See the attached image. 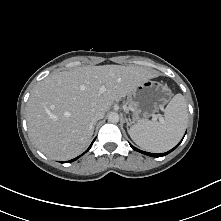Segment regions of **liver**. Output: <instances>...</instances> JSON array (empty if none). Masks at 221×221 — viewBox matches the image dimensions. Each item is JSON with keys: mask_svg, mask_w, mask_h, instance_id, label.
<instances>
[{"mask_svg": "<svg viewBox=\"0 0 221 221\" xmlns=\"http://www.w3.org/2000/svg\"><path fill=\"white\" fill-rule=\"evenodd\" d=\"M156 76L144 67L121 65L85 66L52 74L36 85L27 102L29 135L50 159H72L90 142L94 113H105L115 100ZM102 86L106 90L100 93Z\"/></svg>", "mask_w": 221, "mask_h": 221, "instance_id": "1", "label": "liver"}]
</instances>
